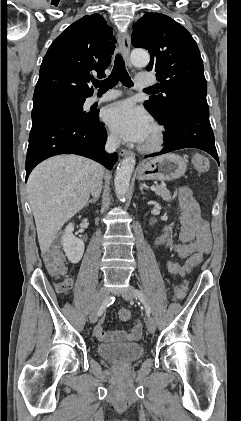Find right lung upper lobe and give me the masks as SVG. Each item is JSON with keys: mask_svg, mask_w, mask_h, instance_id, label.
Wrapping results in <instances>:
<instances>
[{"mask_svg": "<svg viewBox=\"0 0 241 421\" xmlns=\"http://www.w3.org/2000/svg\"><path fill=\"white\" fill-rule=\"evenodd\" d=\"M112 29L99 14L71 24L43 58L33 106L56 100H83L93 94L88 82L105 76L115 48ZM112 39V41H110Z\"/></svg>", "mask_w": 241, "mask_h": 421, "instance_id": "obj_1", "label": "right lung upper lobe"}]
</instances>
